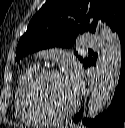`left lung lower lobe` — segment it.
Wrapping results in <instances>:
<instances>
[{
    "label": "left lung lower lobe",
    "instance_id": "left-lung-lower-lobe-1",
    "mask_svg": "<svg viewBox=\"0 0 125 128\" xmlns=\"http://www.w3.org/2000/svg\"><path fill=\"white\" fill-rule=\"evenodd\" d=\"M121 45V68L118 85L114 92L111 105L94 119L84 118L83 123L92 128H123L125 122V23L116 31ZM96 65L95 60L88 66ZM82 108L74 117L78 122L83 116Z\"/></svg>",
    "mask_w": 125,
    "mask_h": 128
}]
</instances>
